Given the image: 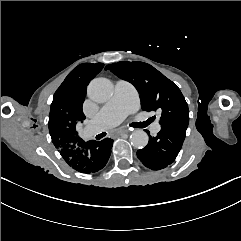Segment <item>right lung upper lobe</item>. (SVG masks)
<instances>
[{
  "label": "right lung upper lobe",
  "mask_w": 241,
  "mask_h": 241,
  "mask_svg": "<svg viewBox=\"0 0 241 241\" xmlns=\"http://www.w3.org/2000/svg\"><path fill=\"white\" fill-rule=\"evenodd\" d=\"M86 90H78L64 100L53 97L49 114V132L56 148L81 139L76 131V125L85 119L82 105Z\"/></svg>",
  "instance_id": "1"
}]
</instances>
